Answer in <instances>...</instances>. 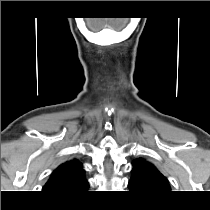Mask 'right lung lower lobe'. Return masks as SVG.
Segmentation results:
<instances>
[{"label": "right lung lower lobe", "mask_w": 210, "mask_h": 210, "mask_svg": "<svg viewBox=\"0 0 210 210\" xmlns=\"http://www.w3.org/2000/svg\"><path fill=\"white\" fill-rule=\"evenodd\" d=\"M77 198H79V196H77V197L59 198V199H61V200H76Z\"/></svg>", "instance_id": "obj_1"}]
</instances>
